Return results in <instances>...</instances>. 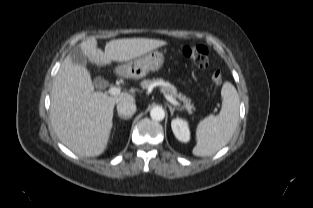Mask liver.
Wrapping results in <instances>:
<instances>
[{
    "instance_id": "obj_1",
    "label": "liver",
    "mask_w": 313,
    "mask_h": 208,
    "mask_svg": "<svg viewBox=\"0 0 313 208\" xmlns=\"http://www.w3.org/2000/svg\"><path fill=\"white\" fill-rule=\"evenodd\" d=\"M167 42L148 38H127L109 41L105 52L92 37L80 44L92 64L109 65L112 61L127 62ZM135 101L127 93L116 96L95 91L85 67L73 64L68 55L54 78L51 90L50 119L59 140L74 153L95 157L108 144L115 104Z\"/></svg>"
}]
</instances>
